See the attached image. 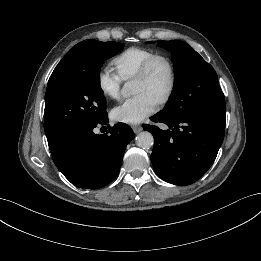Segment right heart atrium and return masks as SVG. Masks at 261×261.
<instances>
[{
	"label": "right heart atrium",
	"mask_w": 261,
	"mask_h": 261,
	"mask_svg": "<svg viewBox=\"0 0 261 261\" xmlns=\"http://www.w3.org/2000/svg\"><path fill=\"white\" fill-rule=\"evenodd\" d=\"M122 79L108 67H103L97 75V86L103 96L117 99L121 92Z\"/></svg>",
	"instance_id": "obj_1"
}]
</instances>
